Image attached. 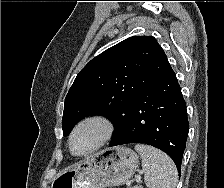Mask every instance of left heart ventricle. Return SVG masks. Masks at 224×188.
<instances>
[{"label":"left heart ventricle","mask_w":224,"mask_h":188,"mask_svg":"<svg viewBox=\"0 0 224 188\" xmlns=\"http://www.w3.org/2000/svg\"><path fill=\"white\" fill-rule=\"evenodd\" d=\"M103 128L96 122H90L76 132L73 139V151L77 154L85 153L93 148L101 139Z\"/></svg>","instance_id":"b2bd125f"}]
</instances>
